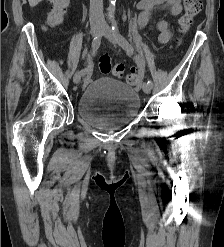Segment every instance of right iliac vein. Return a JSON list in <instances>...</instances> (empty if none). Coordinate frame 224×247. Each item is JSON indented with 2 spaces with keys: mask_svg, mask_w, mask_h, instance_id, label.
<instances>
[{
  "mask_svg": "<svg viewBox=\"0 0 224 247\" xmlns=\"http://www.w3.org/2000/svg\"><path fill=\"white\" fill-rule=\"evenodd\" d=\"M101 30H102V26L100 24L96 23L91 25V35L93 37H96L98 34H100ZM81 77H82L81 70H78L73 77L74 84H78L81 80Z\"/></svg>",
  "mask_w": 224,
  "mask_h": 247,
  "instance_id": "63e3f726",
  "label": "right iliac vein"
}]
</instances>
